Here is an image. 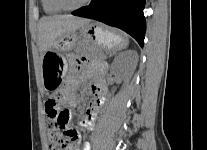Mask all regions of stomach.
I'll list each match as a JSON object with an SVG mask.
<instances>
[{"label":"stomach","instance_id":"stomach-1","mask_svg":"<svg viewBox=\"0 0 207 150\" xmlns=\"http://www.w3.org/2000/svg\"><path fill=\"white\" fill-rule=\"evenodd\" d=\"M125 34L104 28L100 24L88 23L79 30L56 40L50 50L43 55V82L46 89H54L64 84L68 66L65 53L73 46L90 59L101 60L104 51L116 52L128 45Z\"/></svg>","mask_w":207,"mask_h":150}]
</instances>
